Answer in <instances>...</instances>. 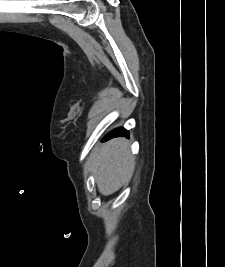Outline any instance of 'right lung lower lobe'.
I'll use <instances>...</instances> for the list:
<instances>
[{
  "mask_svg": "<svg viewBox=\"0 0 225 267\" xmlns=\"http://www.w3.org/2000/svg\"><path fill=\"white\" fill-rule=\"evenodd\" d=\"M127 137L129 138V132L124 129V128H117L113 131H111L105 138H104V141H107L111 138H114V137Z\"/></svg>",
  "mask_w": 225,
  "mask_h": 267,
  "instance_id": "right-lung-lower-lobe-1",
  "label": "right lung lower lobe"
}]
</instances>
